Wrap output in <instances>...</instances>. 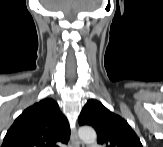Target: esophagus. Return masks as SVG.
<instances>
[{"mask_svg":"<svg viewBox=\"0 0 163 147\" xmlns=\"http://www.w3.org/2000/svg\"><path fill=\"white\" fill-rule=\"evenodd\" d=\"M71 143L73 147H84L83 142L78 139L75 129L71 131Z\"/></svg>","mask_w":163,"mask_h":147,"instance_id":"1","label":"esophagus"}]
</instances>
